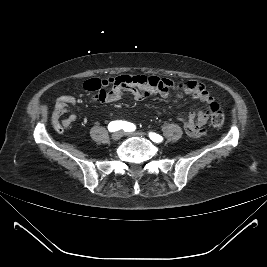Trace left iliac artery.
<instances>
[{"label": "left iliac artery", "mask_w": 267, "mask_h": 267, "mask_svg": "<svg viewBox=\"0 0 267 267\" xmlns=\"http://www.w3.org/2000/svg\"><path fill=\"white\" fill-rule=\"evenodd\" d=\"M149 137L151 138V140H153L154 142H162L163 138L162 136L156 134V133H153V132H150L149 133Z\"/></svg>", "instance_id": "obj_1"}]
</instances>
